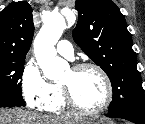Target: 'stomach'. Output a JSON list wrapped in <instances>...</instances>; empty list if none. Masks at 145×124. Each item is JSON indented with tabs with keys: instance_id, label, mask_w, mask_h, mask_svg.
<instances>
[{
	"instance_id": "1",
	"label": "stomach",
	"mask_w": 145,
	"mask_h": 124,
	"mask_svg": "<svg viewBox=\"0 0 145 124\" xmlns=\"http://www.w3.org/2000/svg\"><path fill=\"white\" fill-rule=\"evenodd\" d=\"M78 124H112V123H104L102 119L87 118L81 119Z\"/></svg>"
}]
</instances>
